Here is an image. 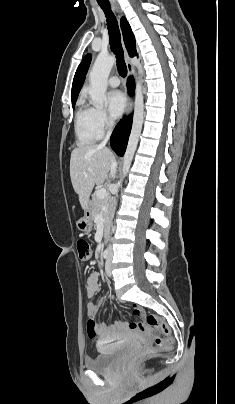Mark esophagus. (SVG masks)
Wrapping results in <instances>:
<instances>
[{
  "label": "esophagus",
  "mask_w": 235,
  "mask_h": 404,
  "mask_svg": "<svg viewBox=\"0 0 235 404\" xmlns=\"http://www.w3.org/2000/svg\"><path fill=\"white\" fill-rule=\"evenodd\" d=\"M116 11L119 12L118 7H116ZM124 57H125V62H126V66H127L128 76L132 77L134 68H133L132 64L130 63V57H129L125 47H124ZM131 110H132V99H131L130 95H128L125 115H128L131 112Z\"/></svg>",
  "instance_id": "obj_1"
}]
</instances>
